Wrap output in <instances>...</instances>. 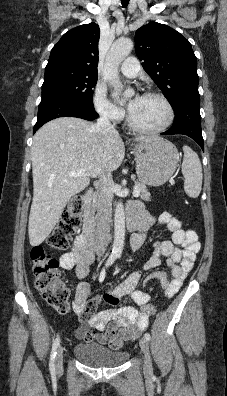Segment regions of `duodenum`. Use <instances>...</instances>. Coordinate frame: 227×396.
<instances>
[{
  "label": "duodenum",
  "instance_id": "410a0bca",
  "mask_svg": "<svg viewBox=\"0 0 227 396\" xmlns=\"http://www.w3.org/2000/svg\"><path fill=\"white\" fill-rule=\"evenodd\" d=\"M93 198H94L93 190H88L83 195L85 223H84V230L82 237L89 249L90 248L94 249L97 245L96 230L91 217V205ZM136 227H137V217L133 214H128L127 229L129 231H133L136 229Z\"/></svg>",
  "mask_w": 227,
  "mask_h": 396
}]
</instances>
